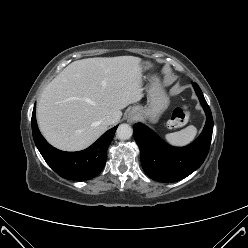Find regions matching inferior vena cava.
<instances>
[{"mask_svg":"<svg viewBox=\"0 0 248 248\" xmlns=\"http://www.w3.org/2000/svg\"><path fill=\"white\" fill-rule=\"evenodd\" d=\"M102 123L105 124V125H111L113 123V118L111 116H105L103 119H102Z\"/></svg>","mask_w":248,"mask_h":248,"instance_id":"obj_1","label":"inferior vena cava"}]
</instances>
